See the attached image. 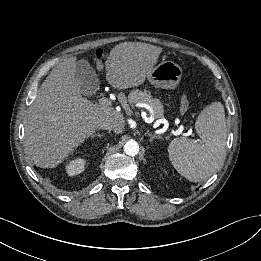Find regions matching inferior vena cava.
Returning <instances> with one entry per match:
<instances>
[{"mask_svg":"<svg viewBox=\"0 0 261 261\" xmlns=\"http://www.w3.org/2000/svg\"><path fill=\"white\" fill-rule=\"evenodd\" d=\"M98 128H99V129H105V130H108V131L113 130V126H112V124L109 123V122H103V123H101Z\"/></svg>","mask_w":261,"mask_h":261,"instance_id":"1","label":"inferior vena cava"}]
</instances>
